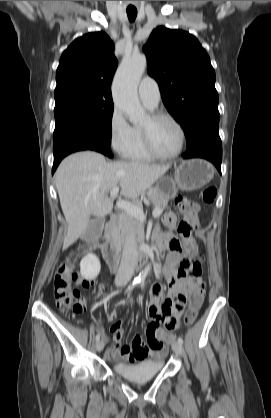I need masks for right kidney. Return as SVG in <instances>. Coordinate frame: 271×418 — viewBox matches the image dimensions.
<instances>
[{
    "mask_svg": "<svg viewBox=\"0 0 271 418\" xmlns=\"http://www.w3.org/2000/svg\"><path fill=\"white\" fill-rule=\"evenodd\" d=\"M100 269V261L98 257L92 253H88L80 262L81 276L87 280L96 278Z\"/></svg>",
    "mask_w": 271,
    "mask_h": 418,
    "instance_id": "1",
    "label": "right kidney"
}]
</instances>
